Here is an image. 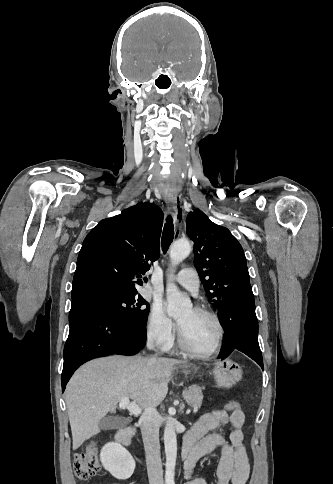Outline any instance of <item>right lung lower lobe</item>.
Here are the masks:
<instances>
[{
  "label": "right lung lower lobe",
  "mask_w": 333,
  "mask_h": 484,
  "mask_svg": "<svg viewBox=\"0 0 333 484\" xmlns=\"http://www.w3.org/2000/svg\"><path fill=\"white\" fill-rule=\"evenodd\" d=\"M69 325L64 347L62 391L84 362L111 354L133 355L146 343V329L131 326L92 294L72 298Z\"/></svg>",
  "instance_id": "98d812e1"
}]
</instances>
